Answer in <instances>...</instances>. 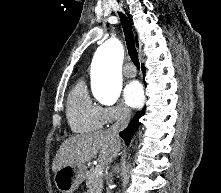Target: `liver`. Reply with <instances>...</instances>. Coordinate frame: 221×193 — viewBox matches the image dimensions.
<instances>
[{"instance_id": "liver-1", "label": "liver", "mask_w": 221, "mask_h": 193, "mask_svg": "<svg viewBox=\"0 0 221 193\" xmlns=\"http://www.w3.org/2000/svg\"><path fill=\"white\" fill-rule=\"evenodd\" d=\"M121 148V139L115 138L109 131L72 136L58 149L52 164L53 172L65 165L82 166L98 154V162L107 165L117 156Z\"/></svg>"}]
</instances>
